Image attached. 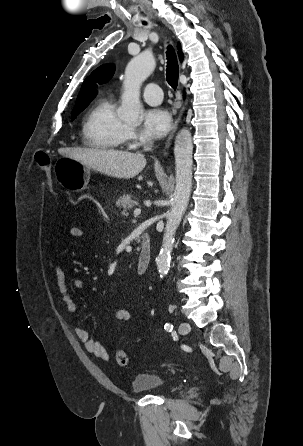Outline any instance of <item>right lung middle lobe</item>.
Here are the masks:
<instances>
[{"label":"right lung middle lobe","mask_w":303,"mask_h":446,"mask_svg":"<svg viewBox=\"0 0 303 446\" xmlns=\"http://www.w3.org/2000/svg\"><path fill=\"white\" fill-rule=\"evenodd\" d=\"M88 106V104H85L83 106H79L73 109L72 112V119H74L81 111H83L86 107Z\"/></svg>","instance_id":"dd1d6c3e"}]
</instances>
